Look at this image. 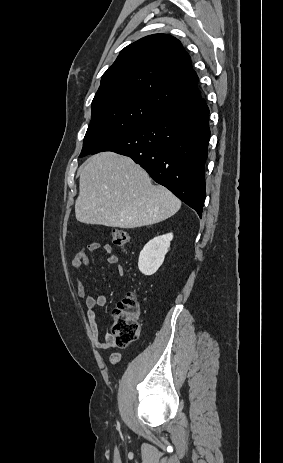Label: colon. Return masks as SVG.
I'll return each mask as SVG.
<instances>
[{"mask_svg": "<svg viewBox=\"0 0 283 463\" xmlns=\"http://www.w3.org/2000/svg\"><path fill=\"white\" fill-rule=\"evenodd\" d=\"M112 243L126 248L130 237L125 230L114 228L110 232ZM141 306L136 294L128 293L112 312V336L118 346H126L138 339L141 333Z\"/></svg>", "mask_w": 283, "mask_h": 463, "instance_id": "colon-1", "label": "colon"}]
</instances>
